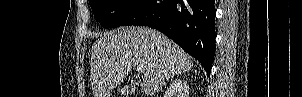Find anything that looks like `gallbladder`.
Returning <instances> with one entry per match:
<instances>
[{
	"label": "gallbladder",
	"mask_w": 302,
	"mask_h": 97,
	"mask_svg": "<svg viewBox=\"0 0 302 97\" xmlns=\"http://www.w3.org/2000/svg\"><path fill=\"white\" fill-rule=\"evenodd\" d=\"M118 91L122 94H131L135 91L134 87L131 86H123L118 89Z\"/></svg>",
	"instance_id": "1"
}]
</instances>
